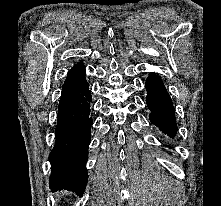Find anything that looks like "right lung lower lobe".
I'll return each mask as SVG.
<instances>
[{"mask_svg": "<svg viewBox=\"0 0 221 206\" xmlns=\"http://www.w3.org/2000/svg\"><path fill=\"white\" fill-rule=\"evenodd\" d=\"M82 62L68 72L58 107L56 141L49 155L50 188L67 189L81 196L86 188L88 147L91 140L92 102Z\"/></svg>", "mask_w": 221, "mask_h": 206, "instance_id": "98d812e1", "label": "right lung lower lobe"}]
</instances>
